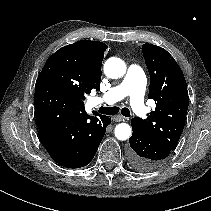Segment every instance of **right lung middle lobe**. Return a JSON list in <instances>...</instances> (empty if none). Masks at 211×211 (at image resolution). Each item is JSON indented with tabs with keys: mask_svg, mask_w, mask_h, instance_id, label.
<instances>
[{
	"mask_svg": "<svg viewBox=\"0 0 211 211\" xmlns=\"http://www.w3.org/2000/svg\"><path fill=\"white\" fill-rule=\"evenodd\" d=\"M37 81H44L71 92L79 100L85 99V90L76 72L63 57L50 56L39 74Z\"/></svg>",
	"mask_w": 211,
	"mask_h": 211,
	"instance_id": "obj_1",
	"label": "right lung middle lobe"
}]
</instances>
